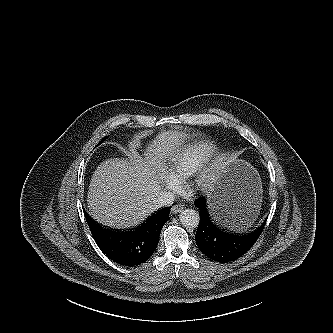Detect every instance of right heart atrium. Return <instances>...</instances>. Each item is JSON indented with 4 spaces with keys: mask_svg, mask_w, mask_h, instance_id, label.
I'll use <instances>...</instances> for the list:
<instances>
[{
    "mask_svg": "<svg viewBox=\"0 0 333 333\" xmlns=\"http://www.w3.org/2000/svg\"><path fill=\"white\" fill-rule=\"evenodd\" d=\"M164 183L170 189H176L179 186L177 178L168 173L164 175Z\"/></svg>",
    "mask_w": 333,
    "mask_h": 333,
    "instance_id": "1",
    "label": "right heart atrium"
}]
</instances>
